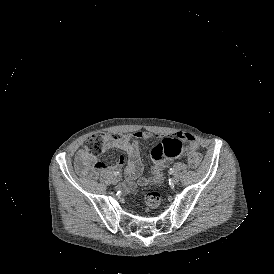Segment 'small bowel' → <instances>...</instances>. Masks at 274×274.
Segmentation results:
<instances>
[{
    "mask_svg": "<svg viewBox=\"0 0 274 274\" xmlns=\"http://www.w3.org/2000/svg\"><path fill=\"white\" fill-rule=\"evenodd\" d=\"M154 135L149 131L136 130L126 135H106L104 150L118 149L128 154V164L125 170L126 182L123 185L125 191H132L135 188L134 181L137 179L140 186H147L151 183L158 184L163 181L162 171L167 165H172L180 158L183 150L188 146V154L197 152L199 142L189 133L179 132L177 136L166 138L163 134H158L154 138V143L150 151L151 177H140L142 162L140 158L139 144L149 140ZM198 153V152H197ZM76 166L83 175L94 176L105 173L109 170L108 165L98 160L94 155L86 150H79L76 154ZM126 162V157L119 156L115 168L122 167Z\"/></svg>",
    "mask_w": 274,
    "mask_h": 274,
    "instance_id": "c3829d8e",
    "label": "small bowel"
}]
</instances>
